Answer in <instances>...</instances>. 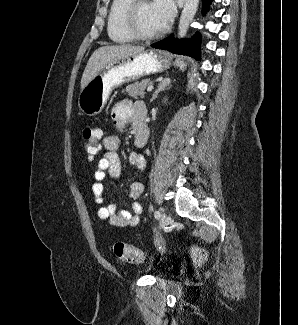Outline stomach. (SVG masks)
Wrapping results in <instances>:
<instances>
[{
    "label": "stomach",
    "mask_w": 298,
    "mask_h": 325,
    "mask_svg": "<svg viewBox=\"0 0 298 325\" xmlns=\"http://www.w3.org/2000/svg\"><path fill=\"white\" fill-rule=\"evenodd\" d=\"M170 64L166 52L155 48H146L143 52L130 54L126 58H115L112 62L104 64L100 72L80 90L78 106L87 116L99 114L107 104L114 88L149 74L164 72L170 68Z\"/></svg>",
    "instance_id": "0dacf381"
}]
</instances>
